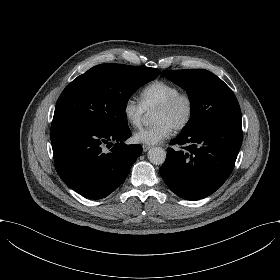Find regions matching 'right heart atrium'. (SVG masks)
<instances>
[{
  "label": "right heart atrium",
  "mask_w": 280,
  "mask_h": 280,
  "mask_svg": "<svg viewBox=\"0 0 280 280\" xmlns=\"http://www.w3.org/2000/svg\"><path fill=\"white\" fill-rule=\"evenodd\" d=\"M125 120L132 126H138L144 116L146 109L141 102L127 98L122 105Z\"/></svg>",
  "instance_id": "obj_1"
}]
</instances>
